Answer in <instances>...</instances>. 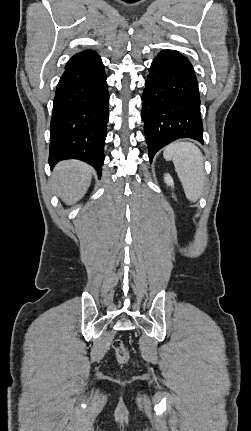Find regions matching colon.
Segmentation results:
<instances>
[{"instance_id":"1","label":"colon","mask_w":251,"mask_h":431,"mask_svg":"<svg viewBox=\"0 0 251 431\" xmlns=\"http://www.w3.org/2000/svg\"><path fill=\"white\" fill-rule=\"evenodd\" d=\"M112 346L118 363L126 364L130 361V353L122 340L116 339Z\"/></svg>"}]
</instances>
